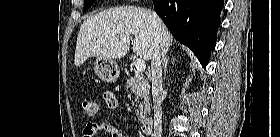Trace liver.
Wrapping results in <instances>:
<instances>
[{
	"label": "liver",
	"instance_id": "obj_1",
	"mask_svg": "<svg viewBox=\"0 0 280 137\" xmlns=\"http://www.w3.org/2000/svg\"><path fill=\"white\" fill-rule=\"evenodd\" d=\"M135 36L133 53L146 61L152 59L156 45L169 48L173 36L152 12L134 6L115 7L87 18L77 38L74 64L81 66L90 57L121 59L130 48V37Z\"/></svg>",
	"mask_w": 280,
	"mask_h": 137
}]
</instances>
